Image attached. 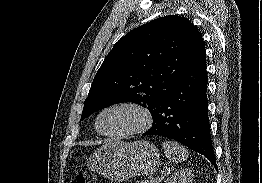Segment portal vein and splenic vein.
I'll use <instances>...</instances> for the list:
<instances>
[{
  "label": "portal vein and splenic vein",
  "mask_w": 262,
  "mask_h": 183,
  "mask_svg": "<svg viewBox=\"0 0 262 183\" xmlns=\"http://www.w3.org/2000/svg\"><path fill=\"white\" fill-rule=\"evenodd\" d=\"M161 179H162V177L161 178H159V179H156L157 181H161Z\"/></svg>",
  "instance_id": "portal-vein-and-splenic-vein-1"
}]
</instances>
